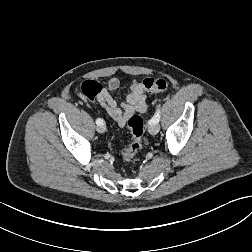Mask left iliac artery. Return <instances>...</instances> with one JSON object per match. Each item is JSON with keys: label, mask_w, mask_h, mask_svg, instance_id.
Returning <instances> with one entry per match:
<instances>
[{"label": "left iliac artery", "mask_w": 252, "mask_h": 252, "mask_svg": "<svg viewBox=\"0 0 252 252\" xmlns=\"http://www.w3.org/2000/svg\"><path fill=\"white\" fill-rule=\"evenodd\" d=\"M160 120V105L157 106L155 115L152 117L151 120H149V124H157Z\"/></svg>", "instance_id": "1"}]
</instances>
